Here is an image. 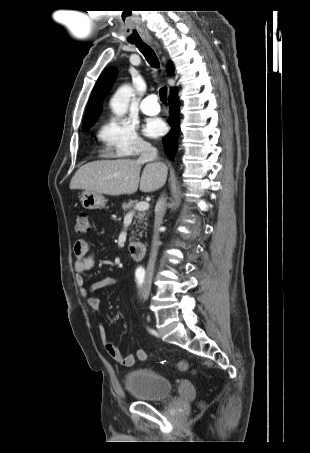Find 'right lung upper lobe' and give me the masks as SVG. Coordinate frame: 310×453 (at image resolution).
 Instances as JSON below:
<instances>
[{
    "mask_svg": "<svg viewBox=\"0 0 310 453\" xmlns=\"http://www.w3.org/2000/svg\"><path fill=\"white\" fill-rule=\"evenodd\" d=\"M173 71V65L170 63L168 66V72L173 75ZM115 73L116 69L114 67H110L106 69L98 78L92 90L82 126L91 125L97 120L100 114L102 100L111 86Z\"/></svg>",
    "mask_w": 310,
    "mask_h": 453,
    "instance_id": "cb5924a9",
    "label": "right lung upper lobe"
}]
</instances>
